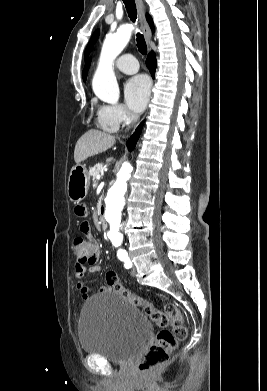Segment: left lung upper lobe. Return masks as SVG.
Segmentation results:
<instances>
[{
  "label": "left lung upper lobe",
  "instance_id": "left-lung-upper-lobe-1",
  "mask_svg": "<svg viewBox=\"0 0 267 391\" xmlns=\"http://www.w3.org/2000/svg\"><path fill=\"white\" fill-rule=\"evenodd\" d=\"M98 36H99V30H96L94 32V34H93V36H92V38H91L87 48H86V55L88 54L89 50L91 49L93 43L97 40Z\"/></svg>",
  "mask_w": 267,
  "mask_h": 391
}]
</instances>
